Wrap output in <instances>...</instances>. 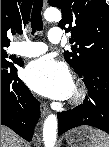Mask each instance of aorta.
I'll use <instances>...</instances> for the list:
<instances>
[{
  "label": "aorta",
  "instance_id": "762f6f07",
  "mask_svg": "<svg viewBox=\"0 0 109 147\" xmlns=\"http://www.w3.org/2000/svg\"><path fill=\"white\" fill-rule=\"evenodd\" d=\"M61 12L55 7H49L44 12V18L49 22H58L61 20ZM57 134V117L54 114L49 115L43 126V141L45 147H54Z\"/></svg>",
  "mask_w": 109,
  "mask_h": 147
}]
</instances>
